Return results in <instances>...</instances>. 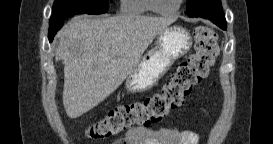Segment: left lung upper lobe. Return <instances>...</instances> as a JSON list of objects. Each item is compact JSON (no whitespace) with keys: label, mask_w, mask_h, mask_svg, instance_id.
I'll return each instance as SVG.
<instances>
[{"label":"left lung upper lobe","mask_w":273,"mask_h":144,"mask_svg":"<svg viewBox=\"0 0 273 144\" xmlns=\"http://www.w3.org/2000/svg\"><path fill=\"white\" fill-rule=\"evenodd\" d=\"M202 1L205 0H188L186 14L189 17H196L198 13H200L203 10H206L208 6L202 3ZM211 2L213 6L222 8L220 0H211Z\"/></svg>","instance_id":"5c2ea615"}]
</instances>
